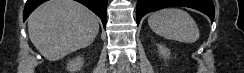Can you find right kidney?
Returning a JSON list of instances; mask_svg holds the SVG:
<instances>
[{"label": "right kidney", "instance_id": "ca27d5eb", "mask_svg": "<svg viewBox=\"0 0 244 73\" xmlns=\"http://www.w3.org/2000/svg\"><path fill=\"white\" fill-rule=\"evenodd\" d=\"M84 64L83 57H76L67 63V70L70 72H76L81 70Z\"/></svg>", "mask_w": 244, "mask_h": 73}]
</instances>
